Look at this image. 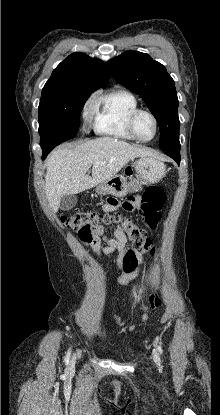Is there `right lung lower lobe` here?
<instances>
[{
    "label": "right lung lower lobe",
    "instance_id": "1",
    "mask_svg": "<svg viewBox=\"0 0 220 415\" xmlns=\"http://www.w3.org/2000/svg\"><path fill=\"white\" fill-rule=\"evenodd\" d=\"M53 148H48V149H42L43 155H42V159H45L46 156L48 155V153L52 150Z\"/></svg>",
    "mask_w": 220,
    "mask_h": 415
}]
</instances>
